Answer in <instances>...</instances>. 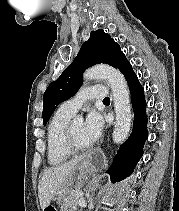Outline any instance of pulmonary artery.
Instances as JSON below:
<instances>
[{"label": "pulmonary artery", "instance_id": "pulmonary-artery-1", "mask_svg": "<svg viewBox=\"0 0 179 211\" xmlns=\"http://www.w3.org/2000/svg\"><path fill=\"white\" fill-rule=\"evenodd\" d=\"M107 96L108 92L105 86H88L81 89L73 98L65 101L60 108L65 112L74 115L86 101L92 99H104Z\"/></svg>", "mask_w": 179, "mask_h": 211}]
</instances>
